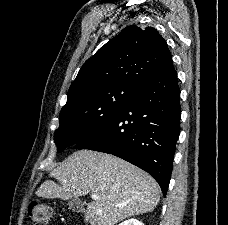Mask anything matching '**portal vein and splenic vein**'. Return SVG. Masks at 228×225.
<instances>
[{"label":"portal vein and splenic vein","mask_w":228,"mask_h":225,"mask_svg":"<svg viewBox=\"0 0 228 225\" xmlns=\"http://www.w3.org/2000/svg\"><path fill=\"white\" fill-rule=\"evenodd\" d=\"M92 199H94V201H97L98 199V195H91Z\"/></svg>","instance_id":"1"}]
</instances>
